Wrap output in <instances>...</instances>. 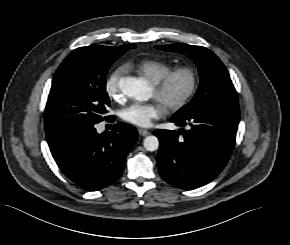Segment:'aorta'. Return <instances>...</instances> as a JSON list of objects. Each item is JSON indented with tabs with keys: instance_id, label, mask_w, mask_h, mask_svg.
<instances>
[{
	"instance_id": "aorta-1",
	"label": "aorta",
	"mask_w": 290,
	"mask_h": 245,
	"mask_svg": "<svg viewBox=\"0 0 290 245\" xmlns=\"http://www.w3.org/2000/svg\"><path fill=\"white\" fill-rule=\"evenodd\" d=\"M120 89L124 95L139 101L148 100L151 96L148 82L143 78L127 77L120 81ZM144 147L147 151H156L159 148V140L150 135L144 139Z\"/></svg>"
}]
</instances>
